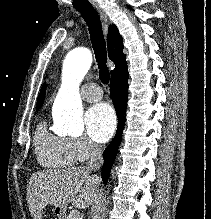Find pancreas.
Listing matches in <instances>:
<instances>
[{"label": "pancreas", "instance_id": "pancreas-1", "mask_svg": "<svg viewBox=\"0 0 211 219\" xmlns=\"http://www.w3.org/2000/svg\"><path fill=\"white\" fill-rule=\"evenodd\" d=\"M63 219H76V215L75 214H69L67 217H65Z\"/></svg>", "mask_w": 211, "mask_h": 219}]
</instances>
